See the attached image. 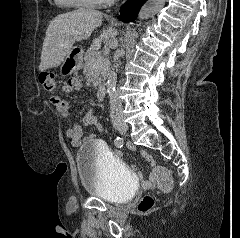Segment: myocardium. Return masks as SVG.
Here are the masks:
<instances>
[{"label":"myocardium","mask_w":240,"mask_h":238,"mask_svg":"<svg viewBox=\"0 0 240 238\" xmlns=\"http://www.w3.org/2000/svg\"><path fill=\"white\" fill-rule=\"evenodd\" d=\"M83 6H101L108 3L106 0H74Z\"/></svg>","instance_id":"obj_1"}]
</instances>
